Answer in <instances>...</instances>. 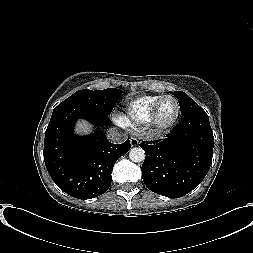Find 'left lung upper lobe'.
I'll list each match as a JSON object with an SVG mask.
<instances>
[{
  "label": "left lung upper lobe",
  "mask_w": 253,
  "mask_h": 253,
  "mask_svg": "<svg viewBox=\"0 0 253 253\" xmlns=\"http://www.w3.org/2000/svg\"><path fill=\"white\" fill-rule=\"evenodd\" d=\"M178 98L182 116L205 112L194 100L182 91L171 92Z\"/></svg>",
  "instance_id": "1"
}]
</instances>
